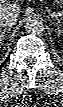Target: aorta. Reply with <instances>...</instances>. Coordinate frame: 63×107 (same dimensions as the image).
<instances>
[{
  "mask_svg": "<svg viewBox=\"0 0 63 107\" xmlns=\"http://www.w3.org/2000/svg\"><path fill=\"white\" fill-rule=\"evenodd\" d=\"M24 27L28 34L37 35L43 32L44 23L40 18L31 17L28 18Z\"/></svg>",
  "mask_w": 63,
  "mask_h": 107,
  "instance_id": "aorta-1",
  "label": "aorta"
}]
</instances>
